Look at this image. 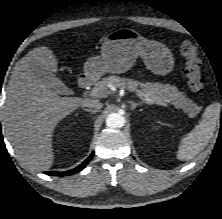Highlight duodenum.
I'll return each mask as SVG.
<instances>
[{
	"mask_svg": "<svg viewBox=\"0 0 222 219\" xmlns=\"http://www.w3.org/2000/svg\"><path fill=\"white\" fill-rule=\"evenodd\" d=\"M89 78L87 76H82L80 79H79V86L81 88H86L89 84Z\"/></svg>",
	"mask_w": 222,
	"mask_h": 219,
	"instance_id": "duodenum-1",
	"label": "duodenum"
}]
</instances>
